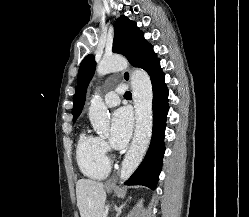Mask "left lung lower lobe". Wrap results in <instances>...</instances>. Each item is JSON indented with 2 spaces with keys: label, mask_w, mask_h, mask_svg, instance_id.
<instances>
[{
  "label": "left lung lower lobe",
  "mask_w": 249,
  "mask_h": 217,
  "mask_svg": "<svg viewBox=\"0 0 249 217\" xmlns=\"http://www.w3.org/2000/svg\"><path fill=\"white\" fill-rule=\"evenodd\" d=\"M153 88V132L146 157L125 182L126 185H144L155 190L165 151L164 131L168 112V90L164 83V73L158 63L148 72Z\"/></svg>",
  "instance_id": "1"
}]
</instances>
